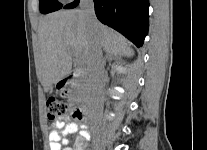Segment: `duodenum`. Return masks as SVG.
Returning a JSON list of instances; mask_svg holds the SVG:
<instances>
[{
    "label": "duodenum",
    "mask_w": 207,
    "mask_h": 150,
    "mask_svg": "<svg viewBox=\"0 0 207 150\" xmlns=\"http://www.w3.org/2000/svg\"><path fill=\"white\" fill-rule=\"evenodd\" d=\"M61 83L63 86H70L72 85L73 83V76L72 75H68L66 77H64L62 80H61ZM79 112L81 113L82 117L83 116H88L90 111L87 107H82L79 109Z\"/></svg>",
    "instance_id": "410a0bca"
}]
</instances>
